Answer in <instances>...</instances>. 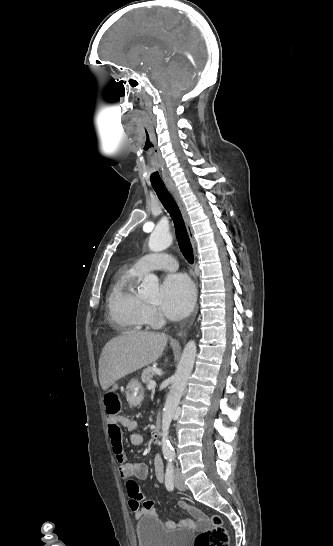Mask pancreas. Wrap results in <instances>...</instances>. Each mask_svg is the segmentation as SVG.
Masks as SVG:
<instances>
[{"mask_svg": "<svg viewBox=\"0 0 333 546\" xmlns=\"http://www.w3.org/2000/svg\"><path fill=\"white\" fill-rule=\"evenodd\" d=\"M152 379H153V372H152V368L149 366L143 370L141 375V380L143 383L148 384L150 381H152Z\"/></svg>", "mask_w": 333, "mask_h": 546, "instance_id": "cf45deb5", "label": "pancreas"}]
</instances>
